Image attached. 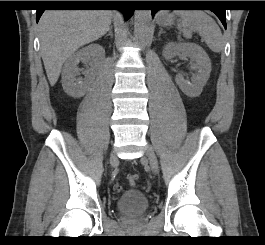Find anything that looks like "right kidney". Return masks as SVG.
<instances>
[{"instance_id": "ca27d5eb", "label": "right kidney", "mask_w": 265, "mask_h": 245, "mask_svg": "<svg viewBox=\"0 0 265 245\" xmlns=\"http://www.w3.org/2000/svg\"><path fill=\"white\" fill-rule=\"evenodd\" d=\"M105 59V50L99 44H90L71 55L65 62L62 70V86L64 91L74 97L80 98L85 95L88 81L76 78L80 73L77 65L80 61L89 62L86 70L88 78L94 76L100 69Z\"/></svg>"}]
</instances>
